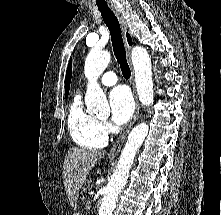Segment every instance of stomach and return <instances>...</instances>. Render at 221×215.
Here are the masks:
<instances>
[{"label": "stomach", "mask_w": 221, "mask_h": 215, "mask_svg": "<svg viewBox=\"0 0 221 215\" xmlns=\"http://www.w3.org/2000/svg\"><path fill=\"white\" fill-rule=\"evenodd\" d=\"M74 215H80L79 213H75Z\"/></svg>", "instance_id": "1"}]
</instances>
